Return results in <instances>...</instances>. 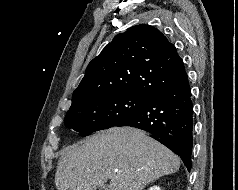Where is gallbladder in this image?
Here are the masks:
<instances>
[{
  "label": "gallbladder",
  "mask_w": 238,
  "mask_h": 190,
  "mask_svg": "<svg viewBox=\"0 0 238 190\" xmlns=\"http://www.w3.org/2000/svg\"><path fill=\"white\" fill-rule=\"evenodd\" d=\"M98 190H109V185L103 184Z\"/></svg>",
  "instance_id": "bac80fb5"
}]
</instances>
